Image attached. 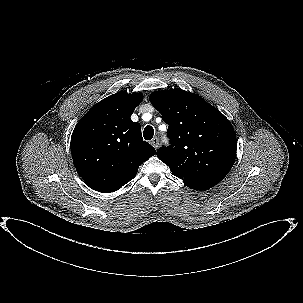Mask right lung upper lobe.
<instances>
[{
	"instance_id": "obj_1",
	"label": "right lung upper lobe",
	"mask_w": 303,
	"mask_h": 303,
	"mask_svg": "<svg viewBox=\"0 0 303 303\" xmlns=\"http://www.w3.org/2000/svg\"><path fill=\"white\" fill-rule=\"evenodd\" d=\"M141 93L118 92L94 105L71 136L75 168L93 190L114 192L136 176L138 167L156 154L143 141L140 124L131 120Z\"/></svg>"
}]
</instances>
